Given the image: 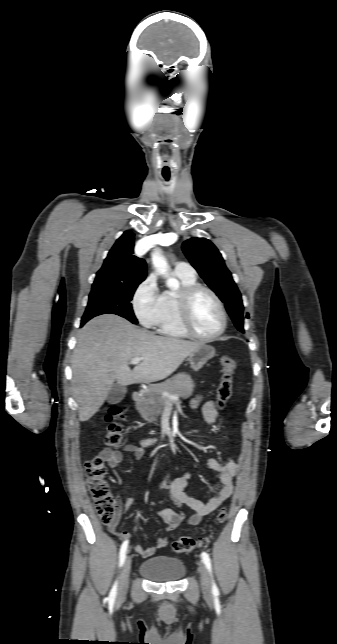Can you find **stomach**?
Segmentation results:
<instances>
[{"mask_svg": "<svg viewBox=\"0 0 337 644\" xmlns=\"http://www.w3.org/2000/svg\"><path fill=\"white\" fill-rule=\"evenodd\" d=\"M215 355V349L207 344H202L195 352L188 356V361L193 370H200L204 364Z\"/></svg>", "mask_w": 337, "mask_h": 644, "instance_id": "1", "label": "stomach"}]
</instances>
